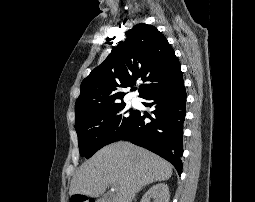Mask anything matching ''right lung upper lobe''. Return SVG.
Wrapping results in <instances>:
<instances>
[{
  "instance_id": "obj_1",
  "label": "right lung upper lobe",
  "mask_w": 255,
  "mask_h": 202,
  "mask_svg": "<svg viewBox=\"0 0 255 202\" xmlns=\"http://www.w3.org/2000/svg\"><path fill=\"white\" fill-rule=\"evenodd\" d=\"M127 39L113 48L109 56L81 83L76 101V120L86 114L123 102L122 88L133 87L138 79L140 97L168 87L182 78L178 58L166 37L156 27L137 24Z\"/></svg>"
}]
</instances>
